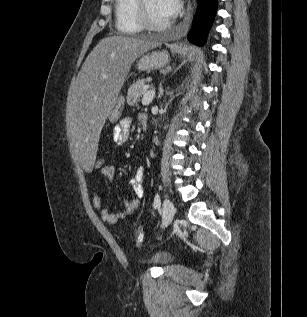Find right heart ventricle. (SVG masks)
Listing matches in <instances>:
<instances>
[{
  "mask_svg": "<svg viewBox=\"0 0 307 317\" xmlns=\"http://www.w3.org/2000/svg\"><path fill=\"white\" fill-rule=\"evenodd\" d=\"M115 25L122 34H135L143 27L139 21L136 0H114Z\"/></svg>",
  "mask_w": 307,
  "mask_h": 317,
  "instance_id": "e07e8e85",
  "label": "right heart ventricle"
}]
</instances>
